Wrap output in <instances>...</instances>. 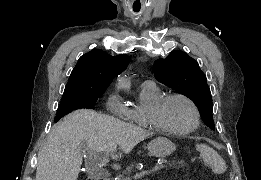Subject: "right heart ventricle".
Returning a JSON list of instances; mask_svg holds the SVG:
<instances>
[{
  "label": "right heart ventricle",
  "mask_w": 261,
  "mask_h": 180,
  "mask_svg": "<svg viewBox=\"0 0 261 180\" xmlns=\"http://www.w3.org/2000/svg\"><path fill=\"white\" fill-rule=\"evenodd\" d=\"M163 96L164 93L155 85L142 84L139 88L134 107L132 109L121 110V112H123V114L125 115L126 122H132V127H143V131H148L141 123V114L144 111L154 107L159 99Z\"/></svg>",
  "instance_id": "right-heart-ventricle-1"
}]
</instances>
